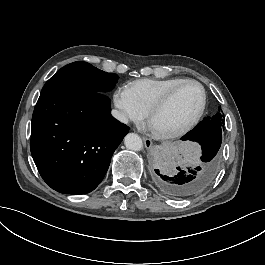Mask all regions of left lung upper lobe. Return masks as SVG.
<instances>
[{
	"label": "left lung upper lobe",
	"instance_id": "1",
	"mask_svg": "<svg viewBox=\"0 0 265 265\" xmlns=\"http://www.w3.org/2000/svg\"><path fill=\"white\" fill-rule=\"evenodd\" d=\"M210 118V117H209ZM214 123H217L219 125H223V119H222V115L220 112H218L217 114H215L213 117L210 118Z\"/></svg>",
	"mask_w": 265,
	"mask_h": 265
}]
</instances>
